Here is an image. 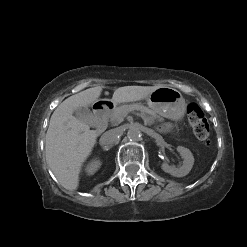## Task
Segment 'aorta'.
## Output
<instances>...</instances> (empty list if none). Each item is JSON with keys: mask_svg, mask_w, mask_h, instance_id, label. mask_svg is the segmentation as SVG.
Masks as SVG:
<instances>
[{"mask_svg": "<svg viewBox=\"0 0 247 247\" xmlns=\"http://www.w3.org/2000/svg\"><path fill=\"white\" fill-rule=\"evenodd\" d=\"M127 137L131 141H139L141 139V132L138 128L131 127V128H129V130L127 132Z\"/></svg>", "mask_w": 247, "mask_h": 247, "instance_id": "aorta-1", "label": "aorta"}]
</instances>
